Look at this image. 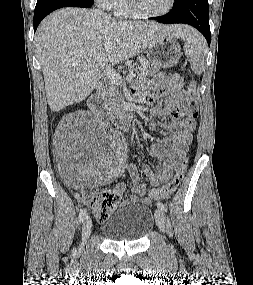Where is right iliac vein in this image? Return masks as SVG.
Listing matches in <instances>:
<instances>
[{
  "mask_svg": "<svg viewBox=\"0 0 253 285\" xmlns=\"http://www.w3.org/2000/svg\"><path fill=\"white\" fill-rule=\"evenodd\" d=\"M92 228V220L89 216H87L82 225V244L80 250L83 249L84 244L86 243L88 237L90 236Z\"/></svg>",
  "mask_w": 253,
  "mask_h": 285,
  "instance_id": "obj_1",
  "label": "right iliac vein"
}]
</instances>
